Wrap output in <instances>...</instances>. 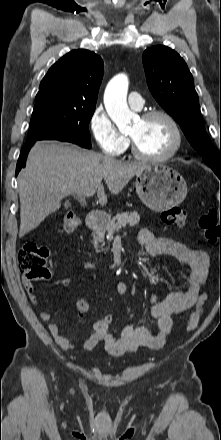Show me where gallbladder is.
Masks as SVG:
<instances>
[{"label":"gallbladder","mask_w":221,"mask_h":440,"mask_svg":"<svg viewBox=\"0 0 221 440\" xmlns=\"http://www.w3.org/2000/svg\"><path fill=\"white\" fill-rule=\"evenodd\" d=\"M67 205H69V202H66V203H65V206H67Z\"/></svg>","instance_id":"1"}]
</instances>
